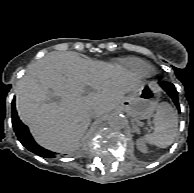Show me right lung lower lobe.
I'll list each match as a JSON object with an SVG mask.
<instances>
[{
	"instance_id": "98d812e1",
	"label": "right lung lower lobe",
	"mask_w": 194,
	"mask_h": 193,
	"mask_svg": "<svg viewBox=\"0 0 194 193\" xmlns=\"http://www.w3.org/2000/svg\"><path fill=\"white\" fill-rule=\"evenodd\" d=\"M12 123H13L14 131L23 146H25L28 150H30L31 152L41 157H45V158L54 157V154H55L54 152L48 151L40 147L33 140L27 126H25L18 118L14 101L12 102Z\"/></svg>"
}]
</instances>
